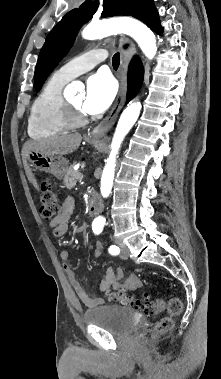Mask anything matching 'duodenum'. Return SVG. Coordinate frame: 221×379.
<instances>
[{
  "label": "duodenum",
  "instance_id": "410a0bca",
  "mask_svg": "<svg viewBox=\"0 0 221 379\" xmlns=\"http://www.w3.org/2000/svg\"><path fill=\"white\" fill-rule=\"evenodd\" d=\"M100 209V200L97 196H92L89 203V215L95 216Z\"/></svg>",
  "mask_w": 221,
  "mask_h": 379
}]
</instances>
